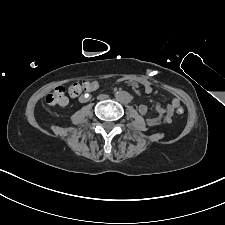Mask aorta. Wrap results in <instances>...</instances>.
<instances>
[{
    "instance_id": "1",
    "label": "aorta",
    "mask_w": 225,
    "mask_h": 225,
    "mask_svg": "<svg viewBox=\"0 0 225 225\" xmlns=\"http://www.w3.org/2000/svg\"><path fill=\"white\" fill-rule=\"evenodd\" d=\"M115 96L117 100H119L122 103H128L132 99V96L126 91H119L115 94Z\"/></svg>"
}]
</instances>
